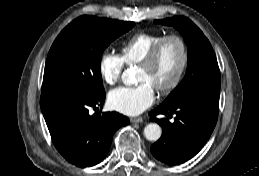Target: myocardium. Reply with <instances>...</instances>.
Wrapping results in <instances>:
<instances>
[{"instance_id":"obj_1","label":"myocardium","mask_w":259,"mask_h":176,"mask_svg":"<svg viewBox=\"0 0 259 176\" xmlns=\"http://www.w3.org/2000/svg\"><path fill=\"white\" fill-rule=\"evenodd\" d=\"M176 41L181 48L182 58L181 63L178 68V71L175 77L165 86H159L156 88L159 94L168 95L173 92L181 83L185 72L187 70L188 62H189V50L185 39L179 35L171 34L164 36L161 40H159L153 48L149 51V53L143 58V60L138 64L139 67L149 68L153 66L163 48V46L169 41Z\"/></svg>"}]
</instances>
